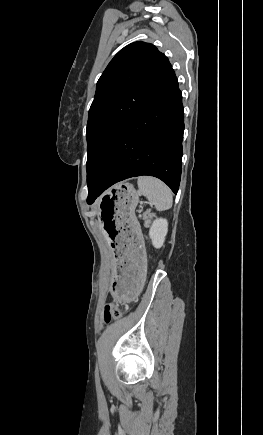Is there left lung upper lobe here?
<instances>
[{"mask_svg":"<svg viewBox=\"0 0 263 435\" xmlns=\"http://www.w3.org/2000/svg\"><path fill=\"white\" fill-rule=\"evenodd\" d=\"M174 76L167 57L152 44L134 42L114 56L97 82L88 115V187L128 125Z\"/></svg>","mask_w":263,"mask_h":435,"instance_id":"obj_1","label":"left lung upper lobe"}]
</instances>
